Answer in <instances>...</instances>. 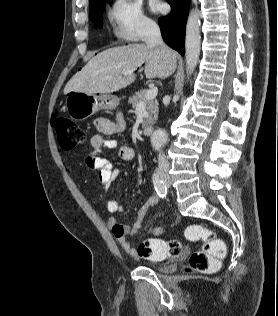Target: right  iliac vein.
Wrapping results in <instances>:
<instances>
[{"label": "right iliac vein", "mask_w": 278, "mask_h": 316, "mask_svg": "<svg viewBox=\"0 0 278 316\" xmlns=\"http://www.w3.org/2000/svg\"><path fill=\"white\" fill-rule=\"evenodd\" d=\"M164 179H165V180H167V177H166V176H164Z\"/></svg>", "instance_id": "right-iliac-vein-1"}]
</instances>
